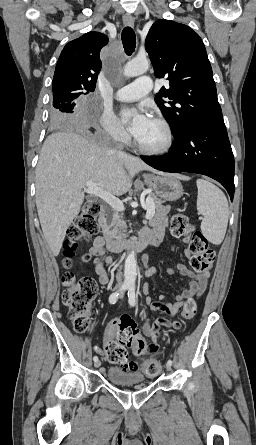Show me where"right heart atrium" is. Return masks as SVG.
Returning a JSON list of instances; mask_svg holds the SVG:
<instances>
[{"mask_svg": "<svg viewBox=\"0 0 256 445\" xmlns=\"http://www.w3.org/2000/svg\"><path fill=\"white\" fill-rule=\"evenodd\" d=\"M100 124L103 132L112 141L116 143H123L127 141L128 136L125 129L111 111L104 110L102 112L100 116Z\"/></svg>", "mask_w": 256, "mask_h": 445, "instance_id": "d8ad5b80", "label": "right heart atrium"}]
</instances>
